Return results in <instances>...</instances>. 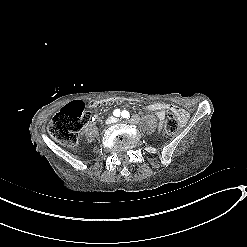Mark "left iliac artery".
<instances>
[{
	"mask_svg": "<svg viewBox=\"0 0 247 247\" xmlns=\"http://www.w3.org/2000/svg\"><path fill=\"white\" fill-rule=\"evenodd\" d=\"M121 116H122V118H126V119L130 118V114L126 110L122 111Z\"/></svg>",
	"mask_w": 247,
	"mask_h": 247,
	"instance_id": "obj_1",
	"label": "left iliac artery"
}]
</instances>
